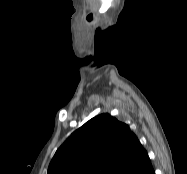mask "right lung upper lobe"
I'll use <instances>...</instances> for the list:
<instances>
[{"mask_svg": "<svg viewBox=\"0 0 187 174\" xmlns=\"http://www.w3.org/2000/svg\"><path fill=\"white\" fill-rule=\"evenodd\" d=\"M150 159L128 126L109 114L76 130L56 151L47 174H150Z\"/></svg>", "mask_w": 187, "mask_h": 174, "instance_id": "1", "label": "right lung upper lobe"}]
</instances>
